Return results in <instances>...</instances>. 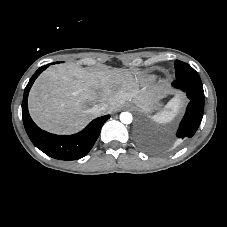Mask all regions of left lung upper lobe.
<instances>
[{"instance_id": "1", "label": "left lung upper lobe", "mask_w": 227, "mask_h": 227, "mask_svg": "<svg viewBox=\"0 0 227 227\" xmlns=\"http://www.w3.org/2000/svg\"><path fill=\"white\" fill-rule=\"evenodd\" d=\"M176 79H189L201 81L198 73L187 63L176 60L175 61Z\"/></svg>"}]
</instances>
